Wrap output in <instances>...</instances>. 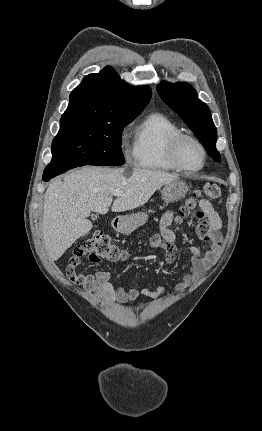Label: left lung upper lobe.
<instances>
[{
	"label": "left lung upper lobe",
	"instance_id": "5c2ea615",
	"mask_svg": "<svg viewBox=\"0 0 262 431\" xmlns=\"http://www.w3.org/2000/svg\"><path fill=\"white\" fill-rule=\"evenodd\" d=\"M157 91L164 103L194 132L214 161L219 162L220 154L216 149L217 129L210 110L198 99L195 89L187 83L161 82Z\"/></svg>",
	"mask_w": 262,
	"mask_h": 431
}]
</instances>
